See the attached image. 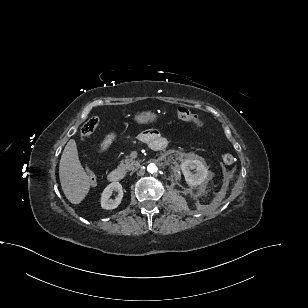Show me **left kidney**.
<instances>
[{
  "instance_id": "obj_1",
  "label": "left kidney",
  "mask_w": 308,
  "mask_h": 308,
  "mask_svg": "<svg viewBox=\"0 0 308 308\" xmlns=\"http://www.w3.org/2000/svg\"><path fill=\"white\" fill-rule=\"evenodd\" d=\"M190 169H196L192 174ZM181 170L189 186L201 185L208 177V171L204 164L198 159H186L181 163Z\"/></svg>"
}]
</instances>
